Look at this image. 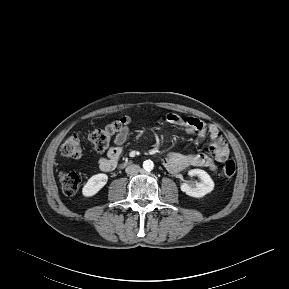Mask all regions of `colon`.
<instances>
[{"label": "colon", "instance_id": "1", "mask_svg": "<svg viewBox=\"0 0 289 289\" xmlns=\"http://www.w3.org/2000/svg\"><path fill=\"white\" fill-rule=\"evenodd\" d=\"M130 123V118L125 116L115 120L102 128L95 129L87 135L74 134L69 136L61 145L62 155L70 158H79L83 155L85 146L94 152H104L108 149L111 139ZM236 171V163L229 159L224 167L225 178H231ZM62 191L66 195H74L82 181V175L76 171L63 172L59 176Z\"/></svg>", "mask_w": 289, "mask_h": 289}]
</instances>
